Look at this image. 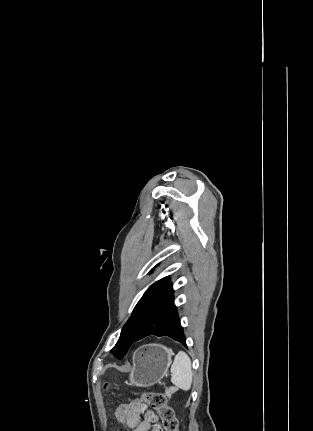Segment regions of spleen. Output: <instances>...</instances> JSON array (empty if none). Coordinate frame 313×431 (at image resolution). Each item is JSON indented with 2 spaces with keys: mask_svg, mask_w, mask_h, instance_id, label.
<instances>
[{
  "mask_svg": "<svg viewBox=\"0 0 313 431\" xmlns=\"http://www.w3.org/2000/svg\"><path fill=\"white\" fill-rule=\"evenodd\" d=\"M171 382L182 390H189L192 385L193 373L189 356L179 351L171 366Z\"/></svg>",
  "mask_w": 313,
  "mask_h": 431,
  "instance_id": "1",
  "label": "spleen"
}]
</instances>
